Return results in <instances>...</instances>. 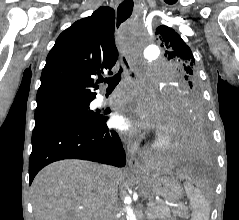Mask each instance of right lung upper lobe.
<instances>
[{
    "instance_id": "obj_1",
    "label": "right lung upper lobe",
    "mask_w": 239,
    "mask_h": 220,
    "mask_svg": "<svg viewBox=\"0 0 239 220\" xmlns=\"http://www.w3.org/2000/svg\"><path fill=\"white\" fill-rule=\"evenodd\" d=\"M114 30L115 11L103 6L59 35L41 74L37 108L95 98L92 76L109 71L118 58Z\"/></svg>"
}]
</instances>
